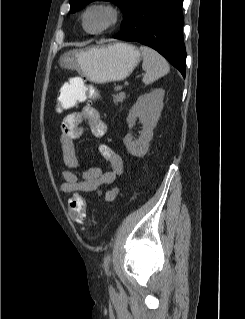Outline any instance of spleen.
Here are the masks:
<instances>
[{
  "mask_svg": "<svg viewBox=\"0 0 245 319\" xmlns=\"http://www.w3.org/2000/svg\"><path fill=\"white\" fill-rule=\"evenodd\" d=\"M143 55L142 68L146 71L143 83L149 85L169 73L170 67L164 57L147 46H140Z\"/></svg>",
  "mask_w": 245,
  "mask_h": 319,
  "instance_id": "obj_1",
  "label": "spleen"
}]
</instances>
